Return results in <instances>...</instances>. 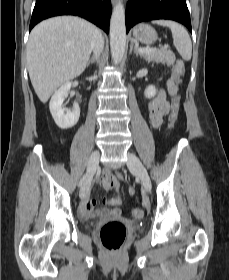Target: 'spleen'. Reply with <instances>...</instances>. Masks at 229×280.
<instances>
[{"label":"spleen","mask_w":229,"mask_h":280,"mask_svg":"<svg viewBox=\"0 0 229 280\" xmlns=\"http://www.w3.org/2000/svg\"><path fill=\"white\" fill-rule=\"evenodd\" d=\"M152 23L162 25L170 28L173 37V44L176 47L178 53L184 60H190L192 56V43L186 29L171 20H155Z\"/></svg>","instance_id":"3e777b00"}]
</instances>
